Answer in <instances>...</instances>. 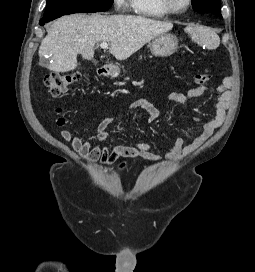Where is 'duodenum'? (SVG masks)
<instances>
[{"label": "duodenum", "instance_id": "410a0bca", "mask_svg": "<svg viewBox=\"0 0 255 272\" xmlns=\"http://www.w3.org/2000/svg\"><path fill=\"white\" fill-rule=\"evenodd\" d=\"M98 75L100 77H109L113 75V72L111 71V69L108 66H100L98 69Z\"/></svg>", "mask_w": 255, "mask_h": 272}]
</instances>
